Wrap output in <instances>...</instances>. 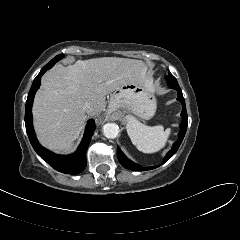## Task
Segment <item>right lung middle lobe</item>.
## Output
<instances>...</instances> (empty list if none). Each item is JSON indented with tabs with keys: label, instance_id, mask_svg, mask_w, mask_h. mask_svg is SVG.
<instances>
[{
	"label": "right lung middle lobe",
	"instance_id": "dd1d6c3e",
	"mask_svg": "<svg viewBox=\"0 0 240 240\" xmlns=\"http://www.w3.org/2000/svg\"><path fill=\"white\" fill-rule=\"evenodd\" d=\"M63 56H64L63 54L57 55L56 57H54V58L50 61V63H56L57 61H59L60 59H62Z\"/></svg>",
	"mask_w": 240,
	"mask_h": 240
}]
</instances>
